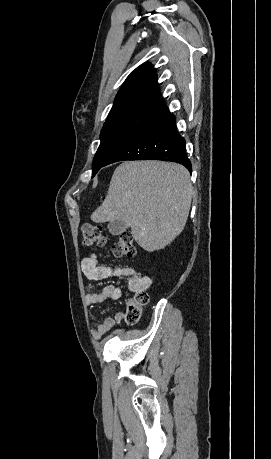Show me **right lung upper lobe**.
Masks as SVG:
<instances>
[{"label": "right lung upper lobe", "mask_w": 271, "mask_h": 459, "mask_svg": "<svg viewBox=\"0 0 271 459\" xmlns=\"http://www.w3.org/2000/svg\"><path fill=\"white\" fill-rule=\"evenodd\" d=\"M167 109L158 89L155 69L151 64L144 63L127 77L109 115L134 110L160 114Z\"/></svg>", "instance_id": "1"}]
</instances>
